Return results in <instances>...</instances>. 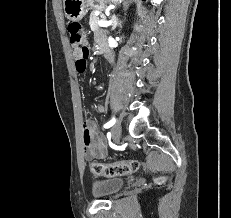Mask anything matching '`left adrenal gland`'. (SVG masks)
<instances>
[{
	"mask_svg": "<svg viewBox=\"0 0 231 218\" xmlns=\"http://www.w3.org/2000/svg\"><path fill=\"white\" fill-rule=\"evenodd\" d=\"M117 24H118V21L115 20V21L113 22V24H112V30H114V29L116 28Z\"/></svg>",
	"mask_w": 231,
	"mask_h": 218,
	"instance_id": "a2214340",
	"label": "left adrenal gland"
}]
</instances>
